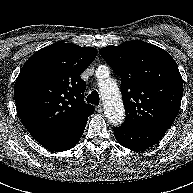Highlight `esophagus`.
<instances>
[{"mask_svg":"<svg viewBox=\"0 0 193 193\" xmlns=\"http://www.w3.org/2000/svg\"><path fill=\"white\" fill-rule=\"evenodd\" d=\"M103 109L104 108H103L102 105H99V106L96 107V111L99 112V113L103 112Z\"/></svg>","mask_w":193,"mask_h":193,"instance_id":"1","label":"esophagus"}]
</instances>
